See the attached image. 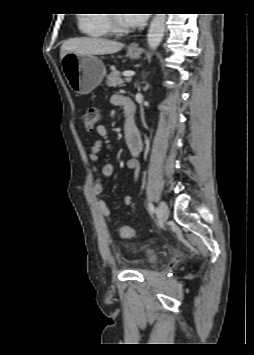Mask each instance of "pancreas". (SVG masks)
I'll return each instance as SVG.
<instances>
[{
  "mask_svg": "<svg viewBox=\"0 0 254 355\" xmlns=\"http://www.w3.org/2000/svg\"><path fill=\"white\" fill-rule=\"evenodd\" d=\"M106 84L109 87L124 86V80L120 77V72L113 70L108 76Z\"/></svg>",
  "mask_w": 254,
  "mask_h": 355,
  "instance_id": "cf45deb5",
  "label": "pancreas"
}]
</instances>
